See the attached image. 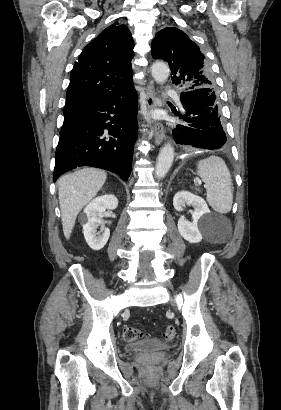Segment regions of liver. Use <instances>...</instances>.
<instances>
[{
	"mask_svg": "<svg viewBox=\"0 0 281 410\" xmlns=\"http://www.w3.org/2000/svg\"><path fill=\"white\" fill-rule=\"evenodd\" d=\"M105 171L96 168H83L60 178L58 195L61 210L63 233L69 239L77 215L94 198L106 181Z\"/></svg>",
	"mask_w": 281,
	"mask_h": 410,
	"instance_id": "1",
	"label": "liver"
}]
</instances>
